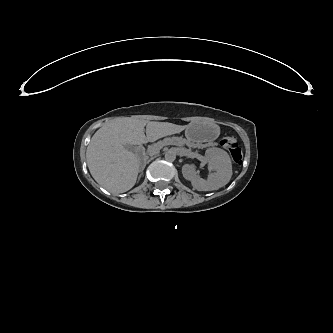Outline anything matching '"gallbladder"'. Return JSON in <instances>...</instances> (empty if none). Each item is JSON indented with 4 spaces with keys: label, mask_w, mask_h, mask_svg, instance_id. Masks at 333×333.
Returning <instances> with one entry per match:
<instances>
[{
    "label": "gallbladder",
    "mask_w": 333,
    "mask_h": 333,
    "mask_svg": "<svg viewBox=\"0 0 333 333\" xmlns=\"http://www.w3.org/2000/svg\"><path fill=\"white\" fill-rule=\"evenodd\" d=\"M124 147H125L126 149L130 150V151H133V149H134V146H133V145H130V144H126V145H124Z\"/></svg>",
    "instance_id": "obj_1"
}]
</instances>
